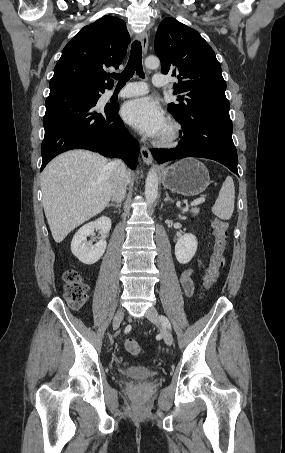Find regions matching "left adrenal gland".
<instances>
[{
    "mask_svg": "<svg viewBox=\"0 0 285 453\" xmlns=\"http://www.w3.org/2000/svg\"><path fill=\"white\" fill-rule=\"evenodd\" d=\"M168 201H169V202H172V203L174 202V201L169 197L168 193L166 192V198L164 199V202H168Z\"/></svg>",
    "mask_w": 285,
    "mask_h": 453,
    "instance_id": "a2214340",
    "label": "left adrenal gland"
}]
</instances>
